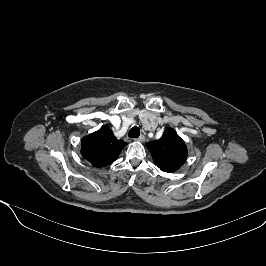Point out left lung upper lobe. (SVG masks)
<instances>
[{"instance_id":"obj_1","label":"left lung upper lobe","mask_w":266,"mask_h":266,"mask_svg":"<svg viewBox=\"0 0 266 266\" xmlns=\"http://www.w3.org/2000/svg\"><path fill=\"white\" fill-rule=\"evenodd\" d=\"M155 164L164 172L178 170L187 158L185 142L173 129H168L163 136L146 143Z\"/></svg>"}]
</instances>
